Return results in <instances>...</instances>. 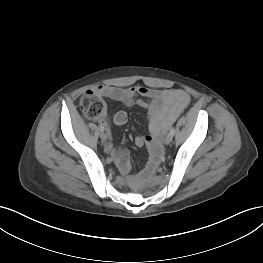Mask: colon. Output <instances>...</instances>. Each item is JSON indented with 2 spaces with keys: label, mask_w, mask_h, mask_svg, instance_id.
<instances>
[{
  "label": "colon",
  "mask_w": 263,
  "mask_h": 263,
  "mask_svg": "<svg viewBox=\"0 0 263 263\" xmlns=\"http://www.w3.org/2000/svg\"><path fill=\"white\" fill-rule=\"evenodd\" d=\"M80 108L89 119H99L104 115L105 103L101 96L87 91L80 99Z\"/></svg>",
  "instance_id": "5ec220e1"
}]
</instances>
